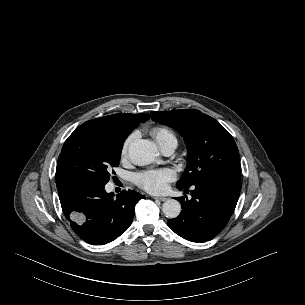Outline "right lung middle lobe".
Segmentation results:
<instances>
[{"label": "right lung middle lobe", "instance_id": "right-lung-middle-lobe-1", "mask_svg": "<svg viewBox=\"0 0 305 305\" xmlns=\"http://www.w3.org/2000/svg\"><path fill=\"white\" fill-rule=\"evenodd\" d=\"M124 138L79 126L65 141L56 168V184L104 186L120 161ZM114 173V171H113Z\"/></svg>", "mask_w": 305, "mask_h": 305}]
</instances>
